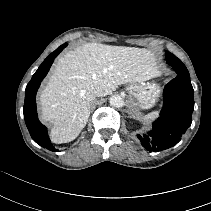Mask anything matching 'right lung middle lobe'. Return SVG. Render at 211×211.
<instances>
[{
	"label": "right lung middle lobe",
	"instance_id": "dd1d6c3e",
	"mask_svg": "<svg viewBox=\"0 0 211 211\" xmlns=\"http://www.w3.org/2000/svg\"><path fill=\"white\" fill-rule=\"evenodd\" d=\"M63 46H64V47H66V46H67V44L65 43V44H63Z\"/></svg>",
	"mask_w": 211,
	"mask_h": 211
}]
</instances>
